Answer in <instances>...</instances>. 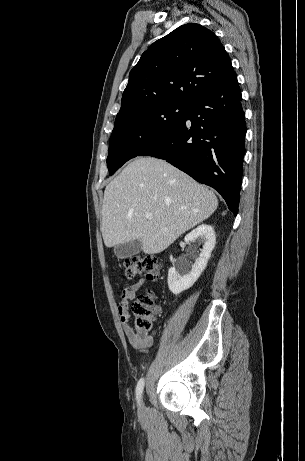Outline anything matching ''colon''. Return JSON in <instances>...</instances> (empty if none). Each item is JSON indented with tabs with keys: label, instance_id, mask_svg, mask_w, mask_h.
Masks as SVG:
<instances>
[{
	"label": "colon",
	"instance_id": "1",
	"mask_svg": "<svg viewBox=\"0 0 305 461\" xmlns=\"http://www.w3.org/2000/svg\"><path fill=\"white\" fill-rule=\"evenodd\" d=\"M161 269L162 262L155 255L134 256L126 259L122 264V274L127 280L138 276L156 280L160 276ZM153 302L154 296L151 293L142 294L132 301L130 309L135 331L146 334L152 330Z\"/></svg>",
	"mask_w": 305,
	"mask_h": 461
}]
</instances>
